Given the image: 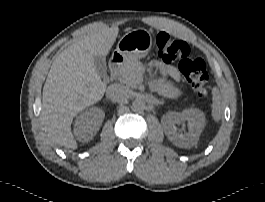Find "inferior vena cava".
<instances>
[{"instance_id": "obj_1", "label": "inferior vena cava", "mask_w": 265, "mask_h": 202, "mask_svg": "<svg viewBox=\"0 0 265 202\" xmlns=\"http://www.w3.org/2000/svg\"><path fill=\"white\" fill-rule=\"evenodd\" d=\"M130 89L121 84H112L106 90V97L113 102H123L130 97Z\"/></svg>"}]
</instances>
